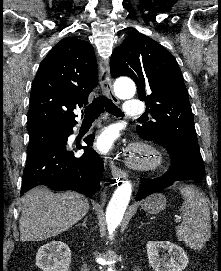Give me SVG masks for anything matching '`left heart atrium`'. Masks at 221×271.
Masks as SVG:
<instances>
[{"label":"left heart atrium","mask_w":221,"mask_h":271,"mask_svg":"<svg viewBox=\"0 0 221 271\" xmlns=\"http://www.w3.org/2000/svg\"><path fill=\"white\" fill-rule=\"evenodd\" d=\"M118 132L113 129L102 131L96 138V146L103 152H109L117 146Z\"/></svg>","instance_id":"39dd6f15"}]
</instances>
